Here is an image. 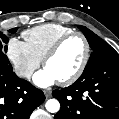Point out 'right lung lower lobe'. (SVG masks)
Here are the masks:
<instances>
[{
    "instance_id": "98d812e1",
    "label": "right lung lower lobe",
    "mask_w": 119,
    "mask_h": 119,
    "mask_svg": "<svg viewBox=\"0 0 119 119\" xmlns=\"http://www.w3.org/2000/svg\"><path fill=\"white\" fill-rule=\"evenodd\" d=\"M44 100L41 90L13 71H0V119H29Z\"/></svg>"
}]
</instances>
